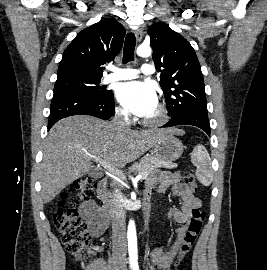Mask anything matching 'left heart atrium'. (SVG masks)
Here are the masks:
<instances>
[{"instance_id": "39dd6f15", "label": "left heart atrium", "mask_w": 267, "mask_h": 270, "mask_svg": "<svg viewBox=\"0 0 267 270\" xmlns=\"http://www.w3.org/2000/svg\"><path fill=\"white\" fill-rule=\"evenodd\" d=\"M116 96L121 105L129 112L148 117L158 104L154 88L145 82L131 81L118 86Z\"/></svg>"}]
</instances>
